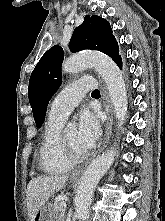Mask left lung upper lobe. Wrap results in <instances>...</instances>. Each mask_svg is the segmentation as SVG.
I'll use <instances>...</instances> for the list:
<instances>
[{"instance_id":"1","label":"left lung upper lobe","mask_w":165,"mask_h":221,"mask_svg":"<svg viewBox=\"0 0 165 221\" xmlns=\"http://www.w3.org/2000/svg\"><path fill=\"white\" fill-rule=\"evenodd\" d=\"M69 47L71 52L98 50L109 55L115 62L121 58L109 22L96 15L85 16L83 23L74 30ZM63 59V48L53 46L42 56L30 76L28 97L38 127L44 121L51 97L61 85Z\"/></svg>"}]
</instances>
